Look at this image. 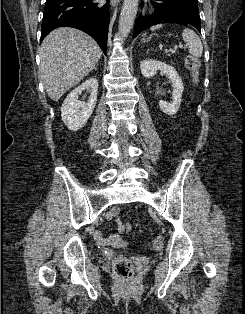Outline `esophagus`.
I'll use <instances>...</instances> for the list:
<instances>
[{"mask_svg":"<svg viewBox=\"0 0 245 314\" xmlns=\"http://www.w3.org/2000/svg\"><path fill=\"white\" fill-rule=\"evenodd\" d=\"M111 6L114 7L119 2V0H111Z\"/></svg>","mask_w":245,"mask_h":314,"instance_id":"34e87169","label":"esophagus"}]
</instances>
